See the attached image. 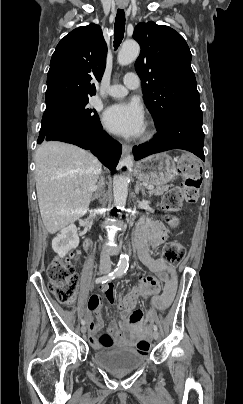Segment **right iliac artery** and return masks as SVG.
<instances>
[{
  "mask_svg": "<svg viewBox=\"0 0 243 404\" xmlns=\"http://www.w3.org/2000/svg\"><path fill=\"white\" fill-rule=\"evenodd\" d=\"M118 274H119L118 272H112V273H110L108 275H105V276L97 278L95 282L97 284L98 283H106L107 281L115 279L118 276ZM81 324L82 325L85 324V321L83 319L81 320Z\"/></svg>",
  "mask_w": 243,
  "mask_h": 404,
  "instance_id": "1",
  "label": "right iliac artery"
}]
</instances>
